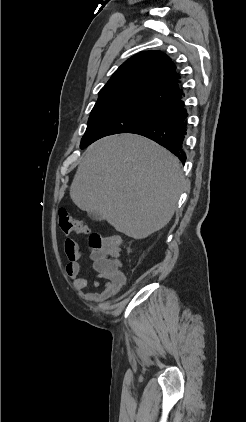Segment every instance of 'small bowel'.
Masks as SVG:
<instances>
[{
  "label": "small bowel",
  "mask_w": 246,
  "mask_h": 422,
  "mask_svg": "<svg viewBox=\"0 0 246 422\" xmlns=\"http://www.w3.org/2000/svg\"><path fill=\"white\" fill-rule=\"evenodd\" d=\"M65 253L68 258L66 273L73 280L75 286L78 289L83 290L88 287L98 288L101 286V283L98 280L90 281L88 278L80 276L82 271V265L80 263L82 258V251L77 242L70 239L66 240ZM90 260L93 263V269L98 272L99 277L104 278L106 282L103 284L102 291L87 292L86 296L95 302L108 300L120 291L125 283V277L122 272L116 276H108L104 274L101 268V255L99 253L92 252L90 255Z\"/></svg>",
  "instance_id": "small-bowel-1"
}]
</instances>
